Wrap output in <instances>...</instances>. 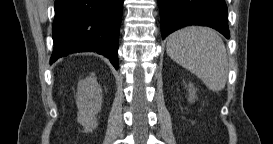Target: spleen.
Masks as SVG:
<instances>
[{"mask_svg": "<svg viewBox=\"0 0 273 144\" xmlns=\"http://www.w3.org/2000/svg\"><path fill=\"white\" fill-rule=\"evenodd\" d=\"M166 51L176 63L200 78L208 89L221 91L227 79L225 45L211 28L190 26L172 33Z\"/></svg>", "mask_w": 273, "mask_h": 144, "instance_id": "obj_1", "label": "spleen"}]
</instances>
